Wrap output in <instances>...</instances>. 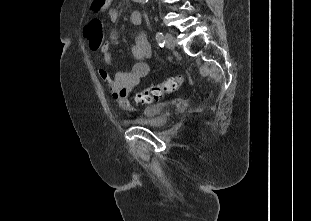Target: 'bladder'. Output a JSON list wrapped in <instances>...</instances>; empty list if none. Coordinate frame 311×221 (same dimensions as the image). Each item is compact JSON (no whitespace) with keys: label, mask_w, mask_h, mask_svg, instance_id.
I'll return each mask as SVG.
<instances>
[{"label":"bladder","mask_w":311,"mask_h":221,"mask_svg":"<svg viewBox=\"0 0 311 221\" xmlns=\"http://www.w3.org/2000/svg\"><path fill=\"white\" fill-rule=\"evenodd\" d=\"M167 103H157L153 108H143V115H149L144 118H130L127 123L136 127H146L150 129H162L164 128L169 117L166 114Z\"/></svg>","instance_id":"obj_1"}]
</instances>
